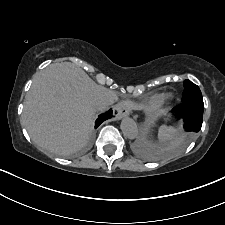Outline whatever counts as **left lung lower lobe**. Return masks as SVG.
<instances>
[{"instance_id": "left-lung-lower-lobe-1", "label": "left lung lower lobe", "mask_w": 225, "mask_h": 225, "mask_svg": "<svg viewBox=\"0 0 225 225\" xmlns=\"http://www.w3.org/2000/svg\"><path fill=\"white\" fill-rule=\"evenodd\" d=\"M184 120V129L188 134L199 132L203 122L204 103L201 101L183 102L173 109Z\"/></svg>"}]
</instances>
